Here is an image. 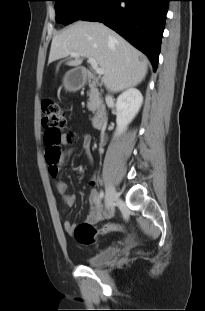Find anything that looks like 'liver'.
I'll return each instance as SVG.
<instances>
[{
    "label": "liver",
    "mask_w": 205,
    "mask_h": 311,
    "mask_svg": "<svg viewBox=\"0 0 205 311\" xmlns=\"http://www.w3.org/2000/svg\"><path fill=\"white\" fill-rule=\"evenodd\" d=\"M93 58L104 70V85L113 92L138 85L147 73L141 53L123 37L99 22L77 21L54 36L48 63L69 56ZM74 57L69 66L81 65L83 59Z\"/></svg>",
    "instance_id": "6515ba94"
}]
</instances>
